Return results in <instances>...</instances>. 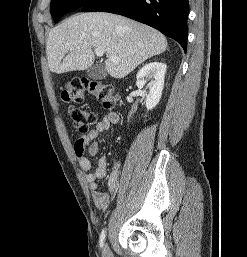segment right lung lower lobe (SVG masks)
<instances>
[{
    "instance_id": "obj_1",
    "label": "right lung lower lobe",
    "mask_w": 247,
    "mask_h": 257,
    "mask_svg": "<svg viewBox=\"0 0 247 257\" xmlns=\"http://www.w3.org/2000/svg\"><path fill=\"white\" fill-rule=\"evenodd\" d=\"M81 11L129 17L158 29L187 50L188 0H93Z\"/></svg>"
}]
</instances>
